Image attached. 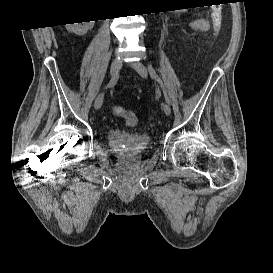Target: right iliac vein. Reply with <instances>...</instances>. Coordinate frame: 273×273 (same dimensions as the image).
Masks as SVG:
<instances>
[{
  "mask_svg": "<svg viewBox=\"0 0 273 273\" xmlns=\"http://www.w3.org/2000/svg\"><path fill=\"white\" fill-rule=\"evenodd\" d=\"M122 67V61L120 59H115L110 68V73H111V80L116 77V75L119 73L120 69ZM104 99V93H101L98 95L97 99L95 100L94 103V108L99 109L103 103Z\"/></svg>",
  "mask_w": 273,
  "mask_h": 273,
  "instance_id": "1",
  "label": "right iliac vein"
}]
</instances>
